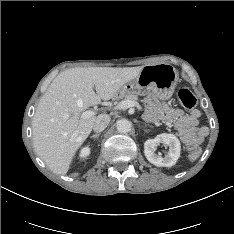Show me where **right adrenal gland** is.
Wrapping results in <instances>:
<instances>
[{
  "label": "right adrenal gland",
  "instance_id": "2a0ac1e0",
  "mask_svg": "<svg viewBox=\"0 0 234 234\" xmlns=\"http://www.w3.org/2000/svg\"><path fill=\"white\" fill-rule=\"evenodd\" d=\"M99 136H100V133H97V134L92 135L90 138L95 139V138H98Z\"/></svg>",
  "mask_w": 234,
  "mask_h": 234
}]
</instances>
